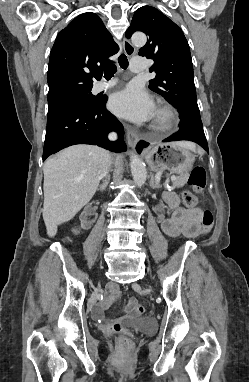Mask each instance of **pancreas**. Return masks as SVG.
Masks as SVG:
<instances>
[{
    "instance_id": "pancreas-1",
    "label": "pancreas",
    "mask_w": 249,
    "mask_h": 382,
    "mask_svg": "<svg viewBox=\"0 0 249 382\" xmlns=\"http://www.w3.org/2000/svg\"><path fill=\"white\" fill-rule=\"evenodd\" d=\"M187 180L188 178L186 175L178 176L174 181H172V187L173 188L183 187L187 183Z\"/></svg>"
}]
</instances>
